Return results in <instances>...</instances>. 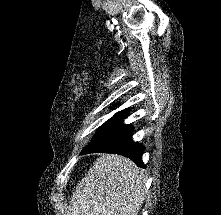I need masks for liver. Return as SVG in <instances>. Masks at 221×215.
I'll list each match as a JSON object with an SVG mask.
<instances>
[{
	"mask_svg": "<svg viewBox=\"0 0 221 215\" xmlns=\"http://www.w3.org/2000/svg\"><path fill=\"white\" fill-rule=\"evenodd\" d=\"M144 189L143 171L133 161L102 154L73 192L67 215H138Z\"/></svg>",
	"mask_w": 221,
	"mask_h": 215,
	"instance_id": "1",
	"label": "liver"
}]
</instances>
